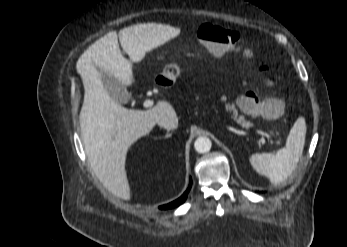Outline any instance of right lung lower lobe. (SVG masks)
Instances as JSON below:
<instances>
[{
	"label": "right lung lower lobe",
	"mask_w": 347,
	"mask_h": 247,
	"mask_svg": "<svg viewBox=\"0 0 347 247\" xmlns=\"http://www.w3.org/2000/svg\"><path fill=\"white\" fill-rule=\"evenodd\" d=\"M191 185H192V180H190V184H189L187 191L179 199H177V200H175V201H173L167 205L160 206L159 208L160 209L173 208V207H176V206L180 205L181 203H183L187 198V195H188V192L191 188Z\"/></svg>",
	"instance_id": "obj_1"
}]
</instances>
